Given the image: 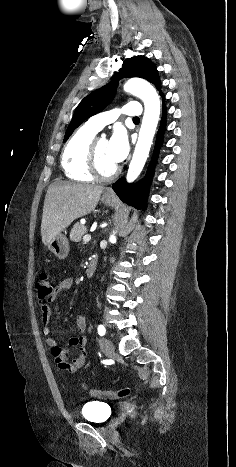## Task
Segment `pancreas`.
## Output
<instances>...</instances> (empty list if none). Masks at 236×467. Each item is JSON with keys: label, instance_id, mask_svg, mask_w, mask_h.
I'll use <instances>...</instances> for the list:
<instances>
[{"label": "pancreas", "instance_id": "obj_1", "mask_svg": "<svg viewBox=\"0 0 236 467\" xmlns=\"http://www.w3.org/2000/svg\"><path fill=\"white\" fill-rule=\"evenodd\" d=\"M87 232L86 228L80 224L77 223L73 226L70 232V240L74 242H80L82 239V236Z\"/></svg>", "mask_w": 236, "mask_h": 467}]
</instances>
